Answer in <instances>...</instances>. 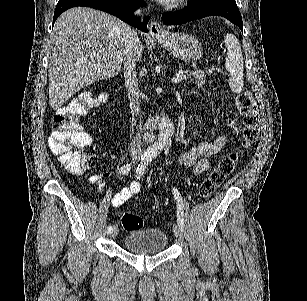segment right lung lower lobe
<instances>
[{
	"instance_id": "obj_1",
	"label": "right lung lower lobe",
	"mask_w": 307,
	"mask_h": 301,
	"mask_svg": "<svg viewBox=\"0 0 307 301\" xmlns=\"http://www.w3.org/2000/svg\"><path fill=\"white\" fill-rule=\"evenodd\" d=\"M145 5L142 0H59L54 12L53 24L58 16L67 9L84 6L110 13L137 29L147 32L148 18H145V21L141 23L137 17L133 16L139 6Z\"/></svg>"
}]
</instances>
